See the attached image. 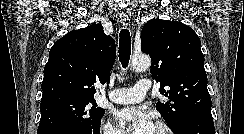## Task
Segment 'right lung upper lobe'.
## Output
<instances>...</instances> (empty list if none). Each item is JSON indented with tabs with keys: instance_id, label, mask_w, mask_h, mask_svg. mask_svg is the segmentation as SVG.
<instances>
[{
	"instance_id": "right-lung-upper-lobe-1",
	"label": "right lung upper lobe",
	"mask_w": 244,
	"mask_h": 134,
	"mask_svg": "<svg viewBox=\"0 0 244 134\" xmlns=\"http://www.w3.org/2000/svg\"><path fill=\"white\" fill-rule=\"evenodd\" d=\"M115 56V41L100 24L67 33L50 49L41 101L55 97L95 101L94 83L109 81Z\"/></svg>"
}]
</instances>
